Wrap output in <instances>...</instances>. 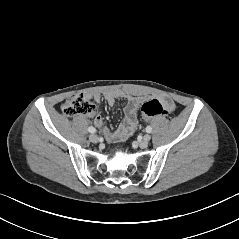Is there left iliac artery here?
I'll return each instance as SVG.
<instances>
[{
    "mask_svg": "<svg viewBox=\"0 0 239 239\" xmlns=\"http://www.w3.org/2000/svg\"><path fill=\"white\" fill-rule=\"evenodd\" d=\"M146 132L147 133H151L152 132V127L151 126H147L146 127Z\"/></svg>",
    "mask_w": 239,
    "mask_h": 239,
    "instance_id": "1",
    "label": "left iliac artery"
}]
</instances>
